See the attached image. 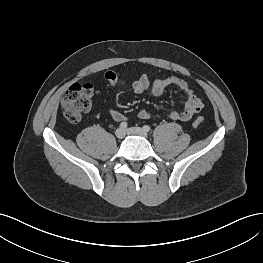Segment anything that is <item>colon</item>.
<instances>
[{
	"label": "colon",
	"instance_id": "5ec220e1",
	"mask_svg": "<svg viewBox=\"0 0 263 263\" xmlns=\"http://www.w3.org/2000/svg\"><path fill=\"white\" fill-rule=\"evenodd\" d=\"M92 87L89 84L72 85L64 94L61 105L64 116L70 123H78L91 106ZM202 119H196L195 127L202 124Z\"/></svg>",
	"mask_w": 263,
	"mask_h": 263
}]
</instances>
